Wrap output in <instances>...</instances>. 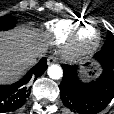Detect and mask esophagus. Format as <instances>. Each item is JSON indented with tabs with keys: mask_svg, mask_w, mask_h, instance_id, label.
Returning <instances> with one entry per match:
<instances>
[{
	"mask_svg": "<svg viewBox=\"0 0 114 114\" xmlns=\"http://www.w3.org/2000/svg\"><path fill=\"white\" fill-rule=\"evenodd\" d=\"M57 58L55 56H49L48 59H47V64L48 65H52V64H55L57 63Z\"/></svg>",
	"mask_w": 114,
	"mask_h": 114,
	"instance_id": "obj_1",
	"label": "esophagus"
}]
</instances>
